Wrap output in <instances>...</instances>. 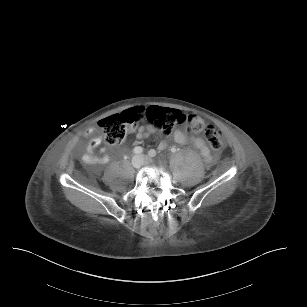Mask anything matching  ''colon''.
I'll return each mask as SVG.
<instances>
[{"label":"colon","mask_w":307,"mask_h":307,"mask_svg":"<svg viewBox=\"0 0 307 307\" xmlns=\"http://www.w3.org/2000/svg\"><path fill=\"white\" fill-rule=\"evenodd\" d=\"M146 111H131L130 108L123 114H116L101 119L98 122V130L102 134L105 142L111 146L121 144L127 135V125L124 123V116H135L138 120L152 125L158 132L167 136L176 126L188 125L190 132H199L203 130V136L214 150H222V133L212 124L204 125L195 115L185 114L177 109H166L162 111H149L148 105Z\"/></svg>","instance_id":"1"}]
</instances>
